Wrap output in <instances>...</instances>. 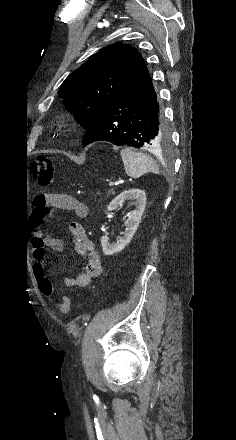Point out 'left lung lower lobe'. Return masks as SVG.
Returning <instances> with one entry per match:
<instances>
[{
	"mask_svg": "<svg viewBox=\"0 0 236 440\" xmlns=\"http://www.w3.org/2000/svg\"><path fill=\"white\" fill-rule=\"evenodd\" d=\"M168 137L160 99L147 71L87 129L83 145L108 141L118 146L157 148Z\"/></svg>",
	"mask_w": 236,
	"mask_h": 440,
	"instance_id": "1",
	"label": "left lung lower lobe"
}]
</instances>
